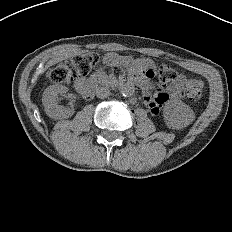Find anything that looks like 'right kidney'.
<instances>
[{"instance_id": "ca27d5eb", "label": "right kidney", "mask_w": 232, "mask_h": 232, "mask_svg": "<svg viewBox=\"0 0 232 232\" xmlns=\"http://www.w3.org/2000/svg\"><path fill=\"white\" fill-rule=\"evenodd\" d=\"M69 91L64 85L55 84L48 86L42 95V104L44 110L52 119H66L74 114V109L58 105V96L65 95Z\"/></svg>"}]
</instances>
